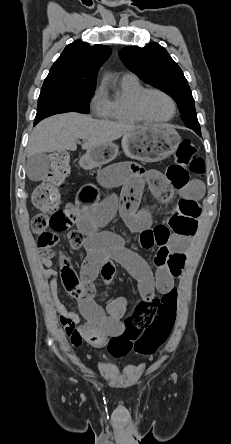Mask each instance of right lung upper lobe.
<instances>
[{
	"mask_svg": "<svg viewBox=\"0 0 231 444\" xmlns=\"http://www.w3.org/2000/svg\"><path fill=\"white\" fill-rule=\"evenodd\" d=\"M111 54L106 45L90 46L80 40L67 45L54 62L42 89L46 88H95L100 66Z\"/></svg>",
	"mask_w": 231,
	"mask_h": 444,
	"instance_id": "cb5924a9",
	"label": "right lung upper lobe"
}]
</instances>
